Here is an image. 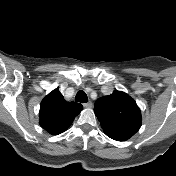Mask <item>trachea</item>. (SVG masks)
<instances>
[{
  "instance_id": "trachea-1",
  "label": "trachea",
  "mask_w": 176,
  "mask_h": 176,
  "mask_svg": "<svg viewBox=\"0 0 176 176\" xmlns=\"http://www.w3.org/2000/svg\"><path fill=\"white\" fill-rule=\"evenodd\" d=\"M76 101L80 103H86L88 101V97L84 91H79L76 95Z\"/></svg>"
}]
</instances>
